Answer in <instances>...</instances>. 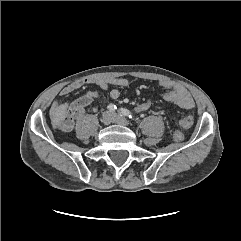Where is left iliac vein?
<instances>
[{
  "mask_svg": "<svg viewBox=\"0 0 241 241\" xmlns=\"http://www.w3.org/2000/svg\"><path fill=\"white\" fill-rule=\"evenodd\" d=\"M113 115H114L113 122L120 124V125H124V126L129 125L128 120L125 117H123L122 115H120V114H113Z\"/></svg>",
  "mask_w": 241,
  "mask_h": 241,
  "instance_id": "left-iliac-vein-1",
  "label": "left iliac vein"
}]
</instances>
